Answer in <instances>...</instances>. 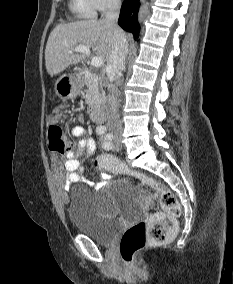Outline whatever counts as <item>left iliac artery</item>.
I'll return each instance as SVG.
<instances>
[{"mask_svg": "<svg viewBox=\"0 0 233 284\" xmlns=\"http://www.w3.org/2000/svg\"><path fill=\"white\" fill-rule=\"evenodd\" d=\"M112 139H113V135L111 134V133H109V134H107L106 136H105V140H104V142H103V147L105 148V149H111L112 148Z\"/></svg>", "mask_w": 233, "mask_h": 284, "instance_id": "44dca946", "label": "left iliac artery"}]
</instances>
